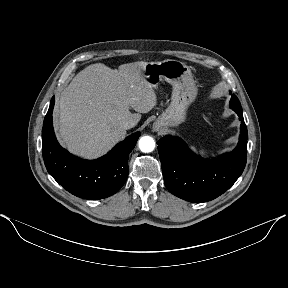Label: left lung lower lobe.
I'll return each instance as SVG.
<instances>
[{
    "label": "left lung lower lobe",
    "mask_w": 288,
    "mask_h": 288,
    "mask_svg": "<svg viewBox=\"0 0 288 288\" xmlns=\"http://www.w3.org/2000/svg\"><path fill=\"white\" fill-rule=\"evenodd\" d=\"M234 111L241 120L238 146L218 159L196 156L178 137L158 140L164 182L173 195L189 202H207L227 191L240 177L246 165L248 135L243 113Z\"/></svg>",
    "instance_id": "1"
}]
</instances>
